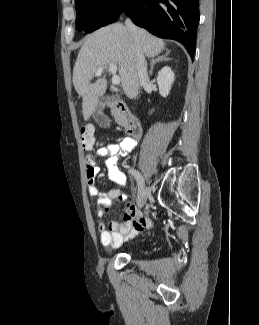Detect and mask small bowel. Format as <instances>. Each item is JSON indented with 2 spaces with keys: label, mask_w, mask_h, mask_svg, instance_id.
I'll return each instance as SVG.
<instances>
[{
  "label": "small bowel",
  "mask_w": 259,
  "mask_h": 325,
  "mask_svg": "<svg viewBox=\"0 0 259 325\" xmlns=\"http://www.w3.org/2000/svg\"><path fill=\"white\" fill-rule=\"evenodd\" d=\"M136 145L137 139L125 137L120 142L101 147L95 154L88 156L86 160L88 192L91 196L97 197L98 215L100 217L111 207L114 201H124L126 194L120 188H114L108 192L99 191L96 185V178L100 172L97 158H106L105 165L109 180L119 187H123L126 184V176L118 168L117 160L120 155L130 152ZM149 224V219L144 217L134 205H128L120 221L110 222L108 229L104 223L99 222L97 230L100 234L101 244L106 248L114 249L133 238Z\"/></svg>",
  "instance_id": "1"
}]
</instances>
